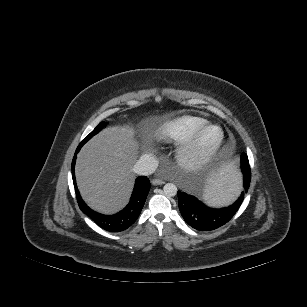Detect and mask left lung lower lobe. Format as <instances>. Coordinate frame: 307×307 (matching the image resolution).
<instances>
[{"instance_id":"obj_1","label":"left lung lower lobe","mask_w":307,"mask_h":307,"mask_svg":"<svg viewBox=\"0 0 307 307\" xmlns=\"http://www.w3.org/2000/svg\"><path fill=\"white\" fill-rule=\"evenodd\" d=\"M241 169L243 173L242 192L239 198L228 207L210 208L194 195L178 191L179 209L188 225L200 231H210L226 224L235 215L248 191L251 179L250 165L245 153L241 154Z\"/></svg>"}]
</instances>
